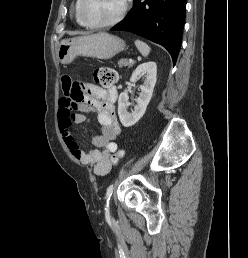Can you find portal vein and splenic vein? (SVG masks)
Listing matches in <instances>:
<instances>
[{
    "label": "portal vein and splenic vein",
    "instance_id": "portal-vein-and-splenic-vein-1",
    "mask_svg": "<svg viewBox=\"0 0 248 258\" xmlns=\"http://www.w3.org/2000/svg\"><path fill=\"white\" fill-rule=\"evenodd\" d=\"M129 62H133V59H129Z\"/></svg>",
    "mask_w": 248,
    "mask_h": 258
}]
</instances>
